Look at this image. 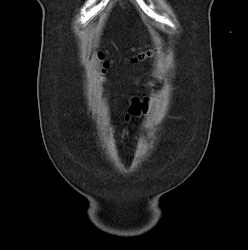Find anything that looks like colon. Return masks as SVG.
<instances>
[{
    "label": "colon",
    "mask_w": 248,
    "mask_h": 250,
    "mask_svg": "<svg viewBox=\"0 0 248 250\" xmlns=\"http://www.w3.org/2000/svg\"><path fill=\"white\" fill-rule=\"evenodd\" d=\"M152 55V51L147 50V51H143L140 52L137 56V59H144V58H148ZM105 65H107V62H105Z\"/></svg>",
    "instance_id": "5ec220e1"
}]
</instances>
